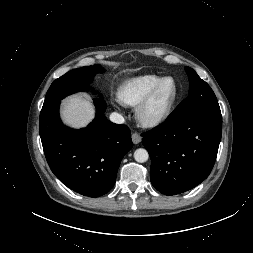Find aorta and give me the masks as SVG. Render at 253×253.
Listing matches in <instances>:
<instances>
[{"instance_id": "obj_1", "label": "aorta", "mask_w": 253, "mask_h": 253, "mask_svg": "<svg viewBox=\"0 0 253 253\" xmlns=\"http://www.w3.org/2000/svg\"><path fill=\"white\" fill-rule=\"evenodd\" d=\"M149 154L146 149L139 148L134 152V159L139 163H144L148 160Z\"/></svg>"}]
</instances>
